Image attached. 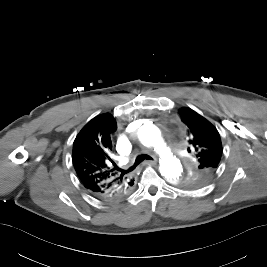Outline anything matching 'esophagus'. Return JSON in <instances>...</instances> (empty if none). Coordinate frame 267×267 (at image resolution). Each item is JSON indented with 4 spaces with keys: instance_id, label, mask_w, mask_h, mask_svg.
<instances>
[{
    "instance_id": "34e87169",
    "label": "esophagus",
    "mask_w": 267,
    "mask_h": 267,
    "mask_svg": "<svg viewBox=\"0 0 267 267\" xmlns=\"http://www.w3.org/2000/svg\"><path fill=\"white\" fill-rule=\"evenodd\" d=\"M156 163V160H146L143 162V165H155Z\"/></svg>"
}]
</instances>
